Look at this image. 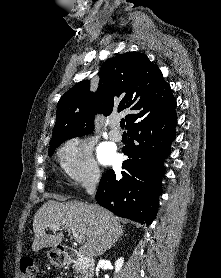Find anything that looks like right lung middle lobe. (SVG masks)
<instances>
[{
    "label": "right lung middle lobe",
    "mask_w": 221,
    "mask_h": 278,
    "mask_svg": "<svg viewBox=\"0 0 221 278\" xmlns=\"http://www.w3.org/2000/svg\"><path fill=\"white\" fill-rule=\"evenodd\" d=\"M58 147V145H55V146H51L50 149H49V156H51L54 152V150Z\"/></svg>",
    "instance_id": "right-lung-middle-lobe-1"
}]
</instances>
